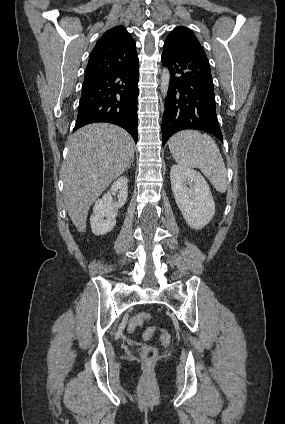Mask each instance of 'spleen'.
Returning a JSON list of instances; mask_svg holds the SVG:
<instances>
[{"label":"spleen","instance_id":"obj_1","mask_svg":"<svg viewBox=\"0 0 285 424\" xmlns=\"http://www.w3.org/2000/svg\"><path fill=\"white\" fill-rule=\"evenodd\" d=\"M169 149L177 163L199 168L218 192H226L228 179L225 163L211 136L197 131H182L170 139Z\"/></svg>","mask_w":285,"mask_h":424}]
</instances>
